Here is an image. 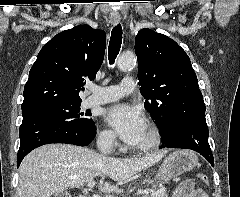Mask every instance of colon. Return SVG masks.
I'll return each instance as SVG.
<instances>
[{
	"label": "colon",
	"instance_id": "colon-1",
	"mask_svg": "<svg viewBox=\"0 0 240 197\" xmlns=\"http://www.w3.org/2000/svg\"><path fill=\"white\" fill-rule=\"evenodd\" d=\"M198 179L204 184H208V177L205 174H198Z\"/></svg>",
	"mask_w": 240,
	"mask_h": 197
}]
</instances>
